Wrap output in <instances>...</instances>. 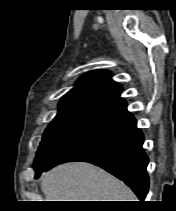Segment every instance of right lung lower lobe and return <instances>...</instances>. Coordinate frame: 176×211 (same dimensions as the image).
I'll use <instances>...</instances> for the list:
<instances>
[{
  "label": "right lung lower lobe",
  "mask_w": 176,
  "mask_h": 211,
  "mask_svg": "<svg viewBox=\"0 0 176 211\" xmlns=\"http://www.w3.org/2000/svg\"><path fill=\"white\" fill-rule=\"evenodd\" d=\"M143 142L144 136L137 128L134 116L127 112L94 126L48 165L37 169L35 178L61 163L86 161L124 181L144 201L149 177L146 172L148 157L142 148Z\"/></svg>",
  "instance_id": "right-lung-lower-lobe-1"
}]
</instances>
